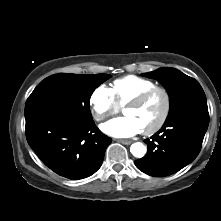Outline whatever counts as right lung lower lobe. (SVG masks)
Returning a JSON list of instances; mask_svg holds the SVG:
<instances>
[{
	"mask_svg": "<svg viewBox=\"0 0 221 221\" xmlns=\"http://www.w3.org/2000/svg\"><path fill=\"white\" fill-rule=\"evenodd\" d=\"M26 138L39 159L68 179H83L101 166L112 139L94 121L82 123L60 111L39 110L26 117Z\"/></svg>",
	"mask_w": 221,
	"mask_h": 221,
	"instance_id": "obj_1",
	"label": "right lung lower lobe"
}]
</instances>
